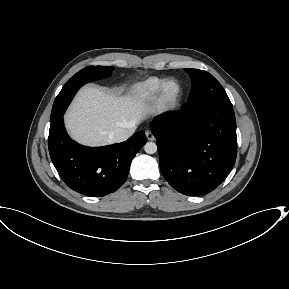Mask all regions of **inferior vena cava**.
I'll use <instances>...</instances> for the list:
<instances>
[{
  "label": "inferior vena cava",
  "mask_w": 289,
  "mask_h": 289,
  "mask_svg": "<svg viewBox=\"0 0 289 289\" xmlns=\"http://www.w3.org/2000/svg\"><path fill=\"white\" fill-rule=\"evenodd\" d=\"M130 131L125 128H117L109 133V139L113 142H122L129 138Z\"/></svg>",
  "instance_id": "1"
}]
</instances>
